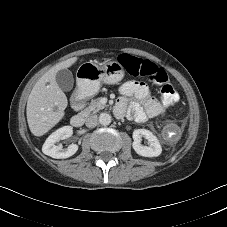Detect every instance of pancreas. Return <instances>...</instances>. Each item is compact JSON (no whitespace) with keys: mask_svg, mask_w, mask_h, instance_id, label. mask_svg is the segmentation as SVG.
Here are the masks:
<instances>
[{"mask_svg":"<svg viewBox=\"0 0 227 227\" xmlns=\"http://www.w3.org/2000/svg\"><path fill=\"white\" fill-rule=\"evenodd\" d=\"M106 107L105 104L101 102L100 98L92 100L91 103L82 111L84 115H89L90 113H97Z\"/></svg>","mask_w":227,"mask_h":227,"instance_id":"cf45deb5","label":"pancreas"}]
</instances>
